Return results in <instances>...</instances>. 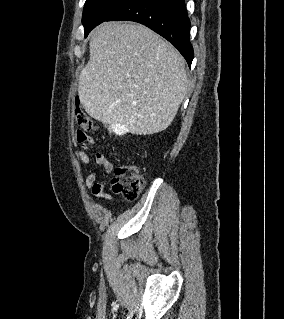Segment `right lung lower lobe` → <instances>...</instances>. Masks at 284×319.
Returning <instances> with one entry per match:
<instances>
[{"instance_id":"obj_1","label":"right lung lower lobe","mask_w":284,"mask_h":319,"mask_svg":"<svg viewBox=\"0 0 284 319\" xmlns=\"http://www.w3.org/2000/svg\"><path fill=\"white\" fill-rule=\"evenodd\" d=\"M115 20L135 21L154 30L172 43L191 66L194 51L184 0H133L106 21Z\"/></svg>"}]
</instances>
